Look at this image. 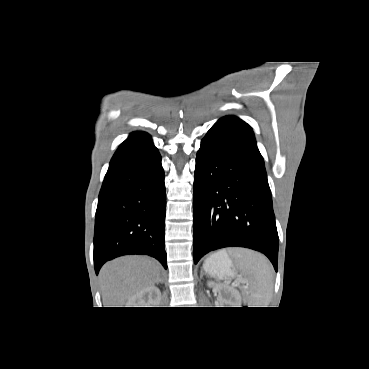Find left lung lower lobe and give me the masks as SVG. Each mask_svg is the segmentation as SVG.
<instances>
[{
  "mask_svg": "<svg viewBox=\"0 0 369 369\" xmlns=\"http://www.w3.org/2000/svg\"><path fill=\"white\" fill-rule=\"evenodd\" d=\"M193 196L195 264L212 250L239 246L264 253L277 271L271 191L247 123L225 116L202 139Z\"/></svg>",
  "mask_w": 369,
  "mask_h": 369,
  "instance_id": "1",
  "label": "left lung lower lobe"
}]
</instances>
